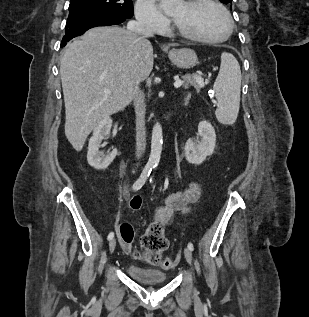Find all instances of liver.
Listing matches in <instances>:
<instances>
[{
    "label": "liver",
    "mask_w": 309,
    "mask_h": 317,
    "mask_svg": "<svg viewBox=\"0 0 309 317\" xmlns=\"http://www.w3.org/2000/svg\"><path fill=\"white\" fill-rule=\"evenodd\" d=\"M153 61L150 41L121 27H95L67 45L60 65L65 135L76 151L103 119L131 103Z\"/></svg>",
    "instance_id": "1"
}]
</instances>
